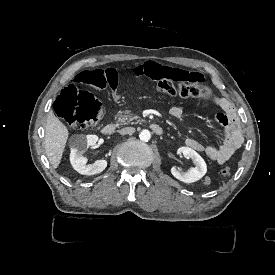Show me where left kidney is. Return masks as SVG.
<instances>
[{
	"mask_svg": "<svg viewBox=\"0 0 275 275\" xmlns=\"http://www.w3.org/2000/svg\"><path fill=\"white\" fill-rule=\"evenodd\" d=\"M178 152L186 157H191L195 163L194 168L187 171L177 170L176 167L171 169V174L183 183H194L201 179L207 173V164L205 160L192 148L181 147Z\"/></svg>",
	"mask_w": 275,
	"mask_h": 275,
	"instance_id": "left-kidney-1",
	"label": "left kidney"
}]
</instances>
